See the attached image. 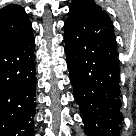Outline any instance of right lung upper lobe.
Segmentation results:
<instances>
[{
    "label": "right lung upper lobe",
    "instance_id": "obj_1",
    "mask_svg": "<svg viewBox=\"0 0 136 136\" xmlns=\"http://www.w3.org/2000/svg\"><path fill=\"white\" fill-rule=\"evenodd\" d=\"M31 33V23L23 7L10 4L0 9V46L19 42Z\"/></svg>",
    "mask_w": 136,
    "mask_h": 136
}]
</instances>
